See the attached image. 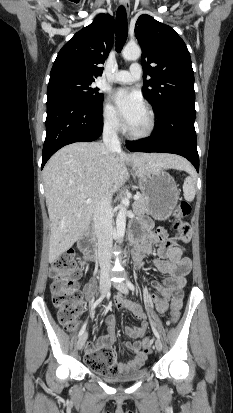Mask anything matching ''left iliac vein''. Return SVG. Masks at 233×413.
Here are the masks:
<instances>
[{
    "instance_id": "obj_1",
    "label": "left iliac vein",
    "mask_w": 233,
    "mask_h": 413,
    "mask_svg": "<svg viewBox=\"0 0 233 413\" xmlns=\"http://www.w3.org/2000/svg\"><path fill=\"white\" fill-rule=\"evenodd\" d=\"M115 286H116V288H117L120 292H122V293H124V294H128L129 290H128V286H127V284H126L125 282L117 283ZM162 347H163V345H162L161 340H160L159 338L156 339V341H155V348H156V350H157L158 352H160V351L162 350Z\"/></svg>"
}]
</instances>
